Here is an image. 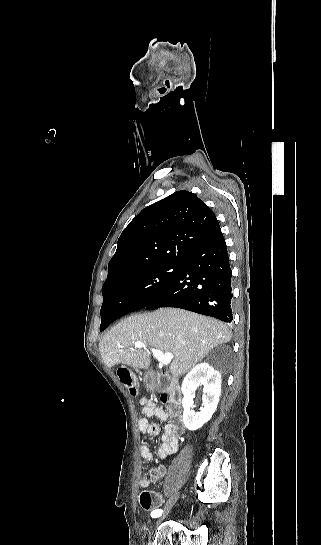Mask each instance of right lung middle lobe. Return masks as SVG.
Here are the masks:
<instances>
[{
  "label": "right lung middle lobe",
  "mask_w": 321,
  "mask_h": 545,
  "mask_svg": "<svg viewBox=\"0 0 321 545\" xmlns=\"http://www.w3.org/2000/svg\"><path fill=\"white\" fill-rule=\"evenodd\" d=\"M180 268L181 265L163 264L129 274L118 284L102 288V305L112 298H124L145 306L166 288ZM104 325L105 320L101 318L100 331Z\"/></svg>",
  "instance_id": "right-lung-middle-lobe-1"
}]
</instances>
